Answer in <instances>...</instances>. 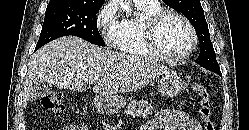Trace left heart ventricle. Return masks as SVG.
I'll list each match as a JSON object with an SVG mask.
<instances>
[{
	"label": "left heart ventricle",
	"instance_id": "b2bd125f",
	"mask_svg": "<svg viewBox=\"0 0 249 130\" xmlns=\"http://www.w3.org/2000/svg\"><path fill=\"white\" fill-rule=\"evenodd\" d=\"M157 38L162 51L171 56L181 55L190 44L186 25L176 17H168L161 23Z\"/></svg>",
	"mask_w": 249,
	"mask_h": 130
}]
</instances>
